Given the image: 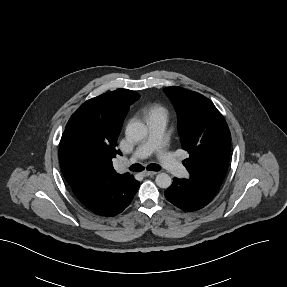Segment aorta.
<instances>
[{
  "mask_svg": "<svg viewBox=\"0 0 287 287\" xmlns=\"http://www.w3.org/2000/svg\"><path fill=\"white\" fill-rule=\"evenodd\" d=\"M126 136L131 141H141L148 134L147 126L142 122H132L126 127ZM156 185L160 188H168L172 184L171 177L166 173H159L155 178Z\"/></svg>",
  "mask_w": 287,
  "mask_h": 287,
  "instance_id": "1",
  "label": "aorta"
}]
</instances>
